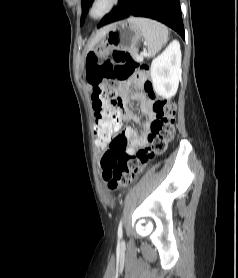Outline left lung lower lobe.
Instances as JSON below:
<instances>
[{"label": "left lung lower lobe", "instance_id": "obj_1", "mask_svg": "<svg viewBox=\"0 0 238 278\" xmlns=\"http://www.w3.org/2000/svg\"><path fill=\"white\" fill-rule=\"evenodd\" d=\"M131 16L160 21L185 38L179 0H120L116 10L107 14L98 28Z\"/></svg>", "mask_w": 238, "mask_h": 278}]
</instances>
